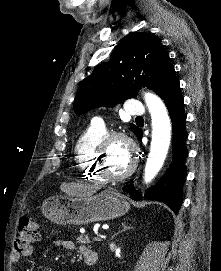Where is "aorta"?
<instances>
[{
  "label": "aorta",
  "mask_w": 221,
  "mask_h": 271,
  "mask_svg": "<svg viewBox=\"0 0 221 271\" xmlns=\"http://www.w3.org/2000/svg\"><path fill=\"white\" fill-rule=\"evenodd\" d=\"M144 98L152 122L150 152L144 171V182L150 183L164 164L170 146L172 125L167 108L160 97L153 93H145Z\"/></svg>",
  "instance_id": "762f6f07"
}]
</instances>
